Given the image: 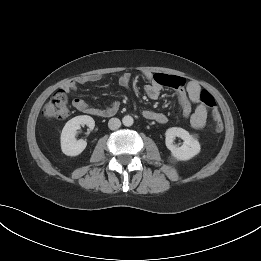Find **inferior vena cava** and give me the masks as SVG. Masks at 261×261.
Returning a JSON list of instances; mask_svg holds the SVG:
<instances>
[{
    "label": "inferior vena cava",
    "instance_id": "obj_1",
    "mask_svg": "<svg viewBox=\"0 0 261 261\" xmlns=\"http://www.w3.org/2000/svg\"><path fill=\"white\" fill-rule=\"evenodd\" d=\"M121 126V122L118 118H111L108 122V127L111 130H116Z\"/></svg>",
    "mask_w": 261,
    "mask_h": 261
}]
</instances>
